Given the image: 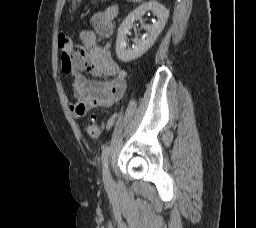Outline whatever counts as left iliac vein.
I'll return each mask as SVG.
<instances>
[{"mask_svg": "<svg viewBox=\"0 0 256 228\" xmlns=\"http://www.w3.org/2000/svg\"><path fill=\"white\" fill-rule=\"evenodd\" d=\"M107 164H108V162L106 163V166L104 167L103 179H104L105 185L110 186L113 183V179H112V175L110 173L109 166Z\"/></svg>", "mask_w": 256, "mask_h": 228, "instance_id": "4c4485c4", "label": "left iliac vein"}]
</instances>
